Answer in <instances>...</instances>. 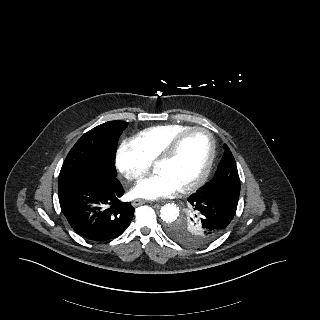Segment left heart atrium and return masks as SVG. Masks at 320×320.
Returning <instances> with one entry per match:
<instances>
[{
  "instance_id": "39dd6f15",
  "label": "left heart atrium",
  "mask_w": 320,
  "mask_h": 320,
  "mask_svg": "<svg viewBox=\"0 0 320 320\" xmlns=\"http://www.w3.org/2000/svg\"><path fill=\"white\" fill-rule=\"evenodd\" d=\"M179 189V186L166 174L155 171L134 186L132 195L137 198L154 200L172 196L177 193Z\"/></svg>"
}]
</instances>
